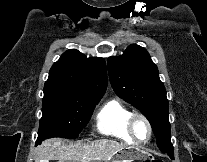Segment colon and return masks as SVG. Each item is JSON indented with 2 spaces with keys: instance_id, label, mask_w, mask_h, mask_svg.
Returning a JSON list of instances; mask_svg holds the SVG:
<instances>
[{
  "instance_id": "1",
  "label": "colon",
  "mask_w": 207,
  "mask_h": 162,
  "mask_svg": "<svg viewBox=\"0 0 207 162\" xmlns=\"http://www.w3.org/2000/svg\"><path fill=\"white\" fill-rule=\"evenodd\" d=\"M78 162V161H77ZM145 162H165L163 160H158V159H154V160H147Z\"/></svg>"
}]
</instances>
